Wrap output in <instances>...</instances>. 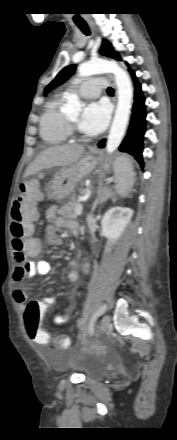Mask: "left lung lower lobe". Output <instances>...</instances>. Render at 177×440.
Returning a JSON list of instances; mask_svg holds the SVG:
<instances>
[{
	"instance_id": "left-lung-lower-lobe-1",
	"label": "left lung lower lobe",
	"mask_w": 177,
	"mask_h": 440,
	"mask_svg": "<svg viewBox=\"0 0 177 440\" xmlns=\"http://www.w3.org/2000/svg\"><path fill=\"white\" fill-rule=\"evenodd\" d=\"M135 87L134 104L132 108V116L127 135L119 147V151L127 152L134 156V158L143 166L142 151H143V136L145 133L146 124V110L145 98L141 90V85L137 80L135 72L129 69ZM105 140L98 143L99 147H104Z\"/></svg>"
}]
</instances>
